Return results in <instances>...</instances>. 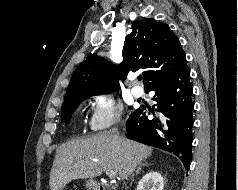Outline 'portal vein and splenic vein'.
<instances>
[{"mask_svg":"<svg viewBox=\"0 0 238 190\" xmlns=\"http://www.w3.org/2000/svg\"><path fill=\"white\" fill-rule=\"evenodd\" d=\"M103 170L105 171L106 175H107L110 179H115V178H117V175H116L115 171L110 170V169H108V168H106V167H104Z\"/></svg>","mask_w":238,"mask_h":190,"instance_id":"18ae733b","label":"portal vein and splenic vein"}]
</instances>
